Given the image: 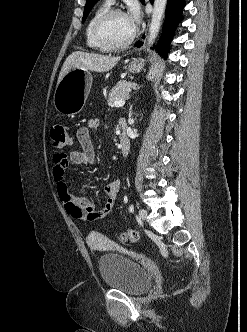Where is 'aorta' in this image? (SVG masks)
<instances>
[{"instance_id": "obj_1", "label": "aorta", "mask_w": 247, "mask_h": 332, "mask_svg": "<svg viewBox=\"0 0 247 332\" xmlns=\"http://www.w3.org/2000/svg\"><path fill=\"white\" fill-rule=\"evenodd\" d=\"M167 0H154L152 19L148 33V44H152L161 27Z\"/></svg>"}]
</instances>
